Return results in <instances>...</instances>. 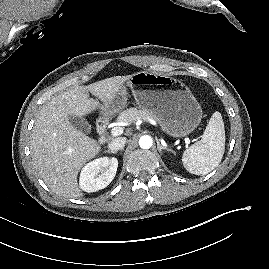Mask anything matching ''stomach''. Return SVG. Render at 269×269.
<instances>
[{"label":"stomach","mask_w":269,"mask_h":269,"mask_svg":"<svg viewBox=\"0 0 269 269\" xmlns=\"http://www.w3.org/2000/svg\"><path fill=\"white\" fill-rule=\"evenodd\" d=\"M136 103L146 110L161 129L175 138H183L200 124L202 109L191 91L179 80L154 72L141 71L127 81ZM126 91L120 90L102 105L104 117L111 116L126 105Z\"/></svg>","instance_id":"0dacf381"}]
</instances>
